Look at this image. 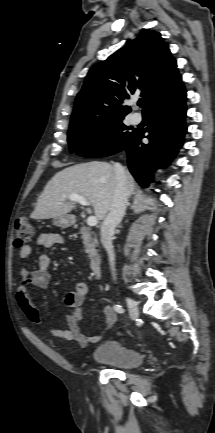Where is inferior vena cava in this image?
Masks as SVG:
<instances>
[{"instance_id":"1","label":"inferior vena cava","mask_w":215,"mask_h":433,"mask_svg":"<svg viewBox=\"0 0 215 433\" xmlns=\"http://www.w3.org/2000/svg\"><path fill=\"white\" fill-rule=\"evenodd\" d=\"M114 170L117 178V186L112 197L109 212L101 224L100 234L101 243L108 253L112 275L115 279V254L112 245V237L116 226L121 222L125 215L127 206V189L125 184V170L122 165L120 163H115Z\"/></svg>"}]
</instances>
